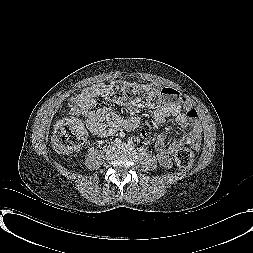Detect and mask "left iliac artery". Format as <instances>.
<instances>
[{
  "label": "left iliac artery",
  "mask_w": 253,
  "mask_h": 253,
  "mask_svg": "<svg viewBox=\"0 0 253 253\" xmlns=\"http://www.w3.org/2000/svg\"><path fill=\"white\" fill-rule=\"evenodd\" d=\"M128 144H132V141L129 140V141H128Z\"/></svg>",
  "instance_id": "obj_1"
}]
</instances>
